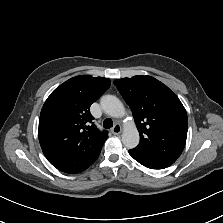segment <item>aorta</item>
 Here are the masks:
<instances>
[{"instance_id":"obj_1","label":"aorta","mask_w":223,"mask_h":223,"mask_svg":"<svg viewBox=\"0 0 223 223\" xmlns=\"http://www.w3.org/2000/svg\"><path fill=\"white\" fill-rule=\"evenodd\" d=\"M102 110L113 118H120L125 115L123 103L114 95H103L100 99ZM139 132L131 121L124 125L122 142L127 149L135 148L139 144Z\"/></svg>"}]
</instances>
